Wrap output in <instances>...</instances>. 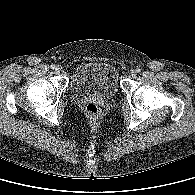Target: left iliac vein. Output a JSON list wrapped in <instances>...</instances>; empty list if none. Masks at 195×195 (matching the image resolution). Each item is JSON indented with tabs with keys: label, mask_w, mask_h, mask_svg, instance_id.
I'll use <instances>...</instances> for the list:
<instances>
[{
	"label": "left iliac vein",
	"mask_w": 195,
	"mask_h": 195,
	"mask_svg": "<svg viewBox=\"0 0 195 195\" xmlns=\"http://www.w3.org/2000/svg\"><path fill=\"white\" fill-rule=\"evenodd\" d=\"M135 76H136V72L132 70V71L130 72V77H135Z\"/></svg>",
	"instance_id": "obj_1"
}]
</instances>
